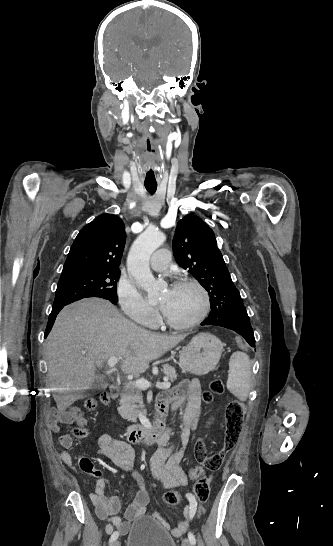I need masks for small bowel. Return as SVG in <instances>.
<instances>
[{"label":"small bowel","instance_id":"small-bowel-1","mask_svg":"<svg viewBox=\"0 0 333 546\" xmlns=\"http://www.w3.org/2000/svg\"><path fill=\"white\" fill-rule=\"evenodd\" d=\"M238 348L245 346L243 339L236 341ZM201 384L199 380L192 379L190 381L181 382L173 393H164L157 400L158 413L160 416L166 415L170 409H176L181 405H185V409L181 414L182 427L177 442L170 444V430L166 429L165 434L157 441L160 448L155 453L150 462V470L152 477L164 488L183 487L187 484L188 478L195 480L196 476L189 473V477L179 467V463L183 454L189 445L192 432L202 413L201 400ZM71 423L77 421L80 426L87 424L86 419L82 416L78 409L69 413L57 414L51 417V425L56 426V423ZM59 443L62 446L60 451V459L70 468L75 470V464L72 456L68 452L73 447V440L67 434H60L58 437ZM99 454L110 460L116 467L125 472H132L133 476L139 484V491L134 497L133 502L125 511V519L118 516L120 510V501L116 496H108L106 494V481L103 478H98L94 491L90 494V499L95 507L96 514L101 520L109 522L107 532H110L112 527L117 528L121 533H126L129 522L136 521L144 515L149 504V494L145 488L144 481L141 475L133 471L135 452L133 447L122 440L116 439L111 435H102L98 440ZM81 470L87 473L98 475L93 467L92 461L87 457H79L77 459ZM208 482L211 481V476L206 475ZM189 504L183 508L184 520L171 530L176 537L183 535L188 529L190 521L203 514V509L198 507L197 501L192 494H187ZM155 518L167 530H170L168 523L158 514L154 513Z\"/></svg>","mask_w":333,"mask_h":546}]
</instances>
